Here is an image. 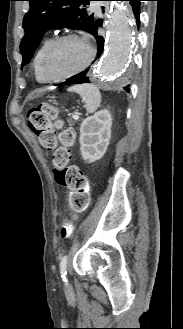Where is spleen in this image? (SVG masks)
<instances>
[{
    "mask_svg": "<svg viewBox=\"0 0 183 329\" xmlns=\"http://www.w3.org/2000/svg\"><path fill=\"white\" fill-rule=\"evenodd\" d=\"M70 92H75L80 95L85 103L87 112H95L101 103V93L99 89L90 84L75 85L68 89Z\"/></svg>",
    "mask_w": 183,
    "mask_h": 329,
    "instance_id": "3e777b00",
    "label": "spleen"
}]
</instances>
